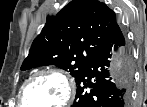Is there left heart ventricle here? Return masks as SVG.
<instances>
[{"label": "left heart ventricle", "instance_id": "1", "mask_svg": "<svg viewBox=\"0 0 147 107\" xmlns=\"http://www.w3.org/2000/svg\"><path fill=\"white\" fill-rule=\"evenodd\" d=\"M65 98V87L54 76L40 77L35 80L25 94L29 107H54Z\"/></svg>", "mask_w": 147, "mask_h": 107}]
</instances>
